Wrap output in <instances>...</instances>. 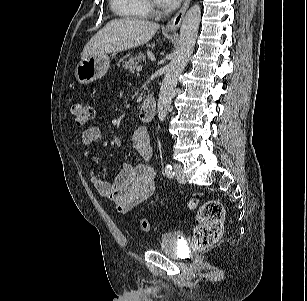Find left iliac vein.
<instances>
[{
	"instance_id": "1",
	"label": "left iliac vein",
	"mask_w": 307,
	"mask_h": 301,
	"mask_svg": "<svg viewBox=\"0 0 307 301\" xmlns=\"http://www.w3.org/2000/svg\"><path fill=\"white\" fill-rule=\"evenodd\" d=\"M175 177L180 183L186 182V177L183 173V166L180 163L174 164Z\"/></svg>"
}]
</instances>
